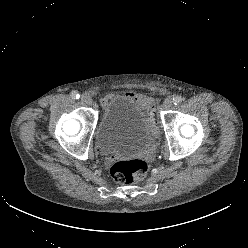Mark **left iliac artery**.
Returning <instances> with one entry per match:
<instances>
[{
  "instance_id": "left-iliac-artery-1",
  "label": "left iliac artery",
  "mask_w": 248,
  "mask_h": 248,
  "mask_svg": "<svg viewBox=\"0 0 248 248\" xmlns=\"http://www.w3.org/2000/svg\"><path fill=\"white\" fill-rule=\"evenodd\" d=\"M183 100H184V98L181 95H177L173 98V103L175 105H177V104L181 103Z\"/></svg>"
}]
</instances>
